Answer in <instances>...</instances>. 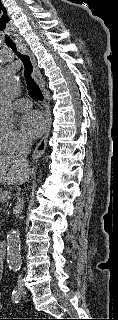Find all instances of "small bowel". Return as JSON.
<instances>
[{
  "label": "small bowel",
  "mask_w": 118,
  "mask_h": 320,
  "mask_svg": "<svg viewBox=\"0 0 118 320\" xmlns=\"http://www.w3.org/2000/svg\"><path fill=\"white\" fill-rule=\"evenodd\" d=\"M1 274H2V265L0 264V281H1ZM2 310V302H1V297H0V311Z\"/></svg>",
  "instance_id": "obj_1"
}]
</instances>
